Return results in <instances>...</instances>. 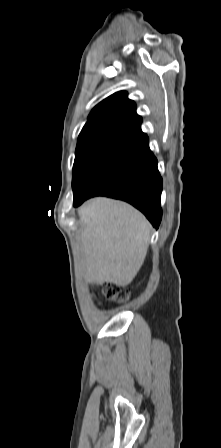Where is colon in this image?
I'll list each match as a JSON object with an SVG mask.
<instances>
[{"label":"colon","mask_w":221,"mask_h":448,"mask_svg":"<svg viewBox=\"0 0 221 448\" xmlns=\"http://www.w3.org/2000/svg\"><path fill=\"white\" fill-rule=\"evenodd\" d=\"M100 295L109 301L125 302L130 298V291L123 286L106 283L100 289Z\"/></svg>","instance_id":"5ec220e1"}]
</instances>
